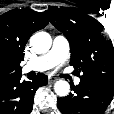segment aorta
I'll return each mask as SVG.
<instances>
[{"label": "aorta", "mask_w": 114, "mask_h": 114, "mask_svg": "<svg viewBox=\"0 0 114 114\" xmlns=\"http://www.w3.org/2000/svg\"><path fill=\"white\" fill-rule=\"evenodd\" d=\"M52 39L46 32H38L30 38V45L33 50L38 54H43L51 48ZM55 93L58 96H66L69 94L70 85L67 81L59 80L54 85Z\"/></svg>", "instance_id": "obj_1"}]
</instances>
